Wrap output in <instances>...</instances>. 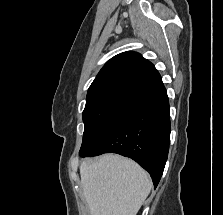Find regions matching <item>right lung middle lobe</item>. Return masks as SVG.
I'll return each instance as SVG.
<instances>
[{
  "label": "right lung middle lobe",
  "mask_w": 223,
  "mask_h": 215,
  "mask_svg": "<svg viewBox=\"0 0 223 215\" xmlns=\"http://www.w3.org/2000/svg\"><path fill=\"white\" fill-rule=\"evenodd\" d=\"M144 96L119 90L97 95L86 100L82 114L83 141L79 154L89 152L106 133Z\"/></svg>",
  "instance_id": "obj_1"
}]
</instances>
